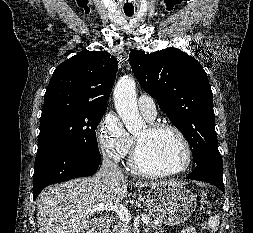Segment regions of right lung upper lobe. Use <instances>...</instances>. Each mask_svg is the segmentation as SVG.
Wrapping results in <instances>:
<instances>
[{"label": "right lung upper lobe", "mask_w": 253, "mask_h": 233, "mask_svg": "<svg viewBox=\"0 0 253 233\" xmlns=\"http://www.w3.org/2000/svg\"><path fill=\"white\" fill-rule=\"evenodd\" d=\"M117 60L106 51H84L54 71L44 104L89 103L107 106L117 72Z\"/></svg>", "instance_id": "1"}]
</instances>
